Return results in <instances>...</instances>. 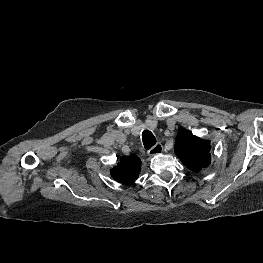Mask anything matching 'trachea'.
I'll return each mask as SVG.
<instances>
[{"instance_id": "trachea-1", "label": "trachea", "mask_w": 263, "mask_h": 263, "mask_svg": "<svg viewBox=\"0 0 263 263\" xmlns=\"http://www.w3.org/2000/svg\"><path fill=\"white\" fill-rule=\"evenodd\" d=\"M142 141L146 150L151 149L156 144V138L149 130L142 132Z\"/></svg>"}]
</instances>
